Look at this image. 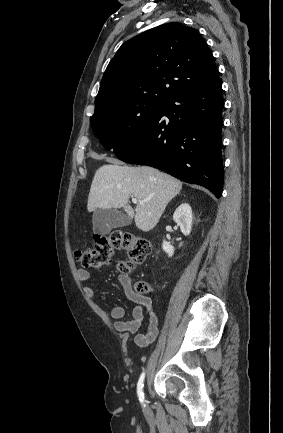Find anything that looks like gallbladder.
<instances>
[{"instance_id":"1","label":"gallbladder","mask_w":283,"mask_h":433,"mask_svg":"<svg viewBox=\"0 0 283 433\" xmlns=\"http://www.w3.org/2000/svg\"><path fill=\"white\" fill-rule=\"evenodd\" d=\"M132 219L117 208H95L92 217L93 231L98 235H109L112 229L131 225Z\"/></svg>"}]
</instances>
